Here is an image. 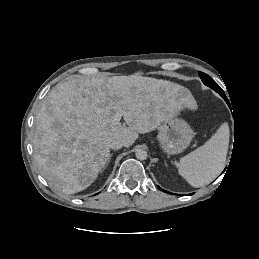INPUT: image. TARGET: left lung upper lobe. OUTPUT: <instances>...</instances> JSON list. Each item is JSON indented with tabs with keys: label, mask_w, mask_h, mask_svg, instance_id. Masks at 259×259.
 <instances>
[{
	"label": "left lung upper lobe",
	"mask_w": 259,
	"mask_h": 259,
	"mask_svg": "<svg viewBox=\"0 0 259 259\" xmlns=\"http://www.w3.org/2000/svg\"><path fill=\"white\" fill-rule=\"evenodd\" d=\"M199 76L201 78V80L203 81V83L212 88L213 90H215L216 92H221L223 91L219 85L213 80L211 79L207 74L203 73V72H199Z\"/></svg>",
	"instance_id": "left-lung-upper-lobe-1"
}]
</instances>
